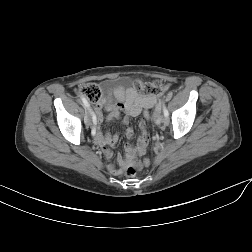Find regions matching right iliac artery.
I'll list each match as a JSON object with an SVG mask.
<instances>
[{
	"label": "right iliac artery",
	"instance_id": "right-iliac-artery-1",
	"mask_svg": "<svg viewBox=\"0 0 252 252\" xmlns=\"http://www.w3.org/2000/svg\"><path fill=\"white\" fill-rule=\"evenodd\" d=\"M81 100L83 102L84 107L87 108L88 110H90V112H91V114L93 116V118H92L93 123H92V126H90V131H91L92 136L96 137L97 136V131L93 130V128H95V125L97 123V118L95 117L94 112L91 111L90 105L87 102V100L85 98H83V97H81Z\"/></svg>",
	"mask_w": 252,
	"mask_h": 252
}]
</instances>
